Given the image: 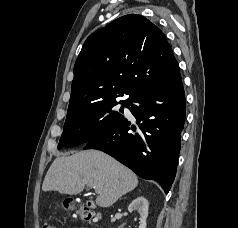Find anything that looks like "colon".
Returning a JSON list of instances; mask_svg holds the SVG:
<instances>
[{
	"mask_svg": "<svg viewBox=\"0 0 238 228\" xmlns=\"http://www.w3.org/2000/svg\"><path fill=\"white\" fill-rule=\"evenodd\" d=\"M65 207L70 206V202L64 203ZM77 216L84 221H95L96 217L88 208H81L77 211ZM41 228H56V226L52 223L46 222L42 225Z\"/></svg>",
	"mask_w": 238,
	"mask_h": 228,
	"instance_id": "1",
	"label": "colon"
}]
</instances>
